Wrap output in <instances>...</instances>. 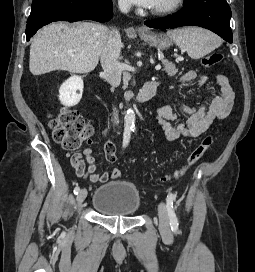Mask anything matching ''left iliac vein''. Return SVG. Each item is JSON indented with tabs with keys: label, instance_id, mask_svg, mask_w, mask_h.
I'll list each match as a JSON object with an SVG mask.
<instances>
[{
	"label": "left iliac vein",
	"instance_id": "left-iliac-vein-1",
	"mask_svg": "<svg viewBox=\"0 0 255 272\" xmlns=\"http://www.w3.org/2000/svg\"><path fill=\"white\" fill-rule=\"evenodd\" d=\"M159 216V230L164 237L170 238L172 236L170 229V221L165 204L162 202L158 209Z\"/></svg>",
	"mask_w": 255,
	"mask_h": 272
}]
</instances>
